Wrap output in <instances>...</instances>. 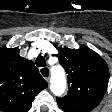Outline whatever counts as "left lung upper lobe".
<instances>
[{"mask_svg": "<svg viewBox=\"0 0 112 112\" xmlns=\"http://www.w3.org/2000/svg\"><path fill=\"white\" fill-rule=\"evenodd\" d=\"M56 56L68 74V93L57 98L64 112H90L102 100L108 86L106 62L93 50L82 45L79 49L58 47Z\"/></svg>", "mask_w": 112, "mask_h": 112, "instance_id": "left-lung-upper-lobe-1", "label": "left lung upper lobe"}]
</instances>
